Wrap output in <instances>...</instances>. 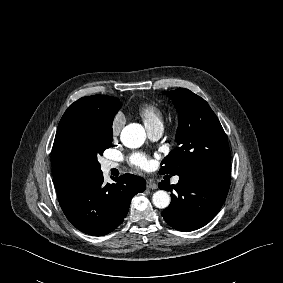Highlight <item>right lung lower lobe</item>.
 <instances>
[{
    "label": "right lung lower lobe",
    "mask_w": 283,
    "mask_h": 283,
    "mask_svg": "<svg viewBox=\"0 0 283 283\" xmlns=\"http://www.w3.org/2000/svg\"><path fill=\"white\" fill-rule=\"evenodd\" d=\"M102 171L92 174L58 194L70 223L80 231L102 236L118 227L127 215L131 199L145 190L142 177L125 174L105 184Z\"/></svg>",
    "instance_id": "right-lung-lower-lobe-1"
}]
</instances>
